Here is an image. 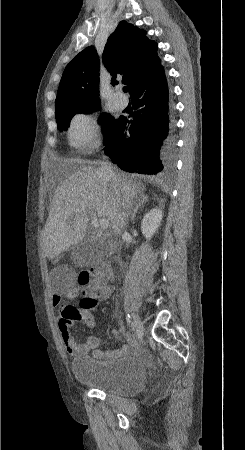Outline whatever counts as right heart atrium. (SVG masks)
I'll use <instances>...</instances> for the list:
<instances>
[{
    "label": "right heart atrium",
    "mask_w": 245,
    "mask_h": 450,
    "mask_svg": "<svg viewBox=\"0 0 245 450\" xmlns=\"http://www.w3.org/2000/svg\"><path fill=\"white\" fill-rule=\"evenodd\" d=\"M67 135L70 144L83 151L93 150L100 144L99 127L95 119L87 114L72 118Z\"/></svg>",
    "instance_id": "1"
}]
</instances>
